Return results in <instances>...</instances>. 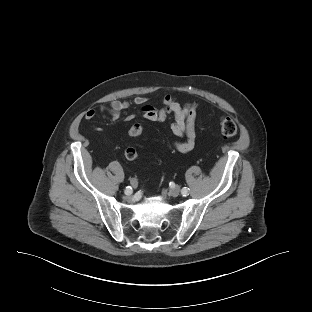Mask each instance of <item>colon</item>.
I'll use <instances>...</instances> for the list:
<instances>
[{
	"label": "colon",
	"mask_w": 312,
	"mask_h": 312,
	"mask_svg": "<svg viewBox=\"0 0 312 312\" xmlns=\"http://www.w3.org/2000/svg\"><path fill=\"white\" fill-rule=\"evenodd\" d=\"M220 130L224 136L232 137L237 134L238 127H237L236 122L232 118L224 117L220 120ZM142 132H143V126L140 123H134L129 128L128 135L131 137H137L141 135ZM124 154L128 160H134L138 156L137 150L132 146H128L125 149Z\"/></svg>",
	"instance_id": "colon-1"
}]
</instances>
